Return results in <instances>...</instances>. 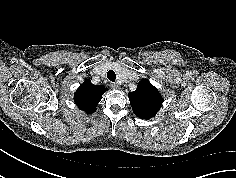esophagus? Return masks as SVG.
<instances>
[{"label": "esophagus", "mask_w": 236, "mask_h": 178, "mask_svg": "<svg viewBox=\"0 0 236 178\" xmlns=\"http://www.w3.org/2000/svg\"><path fill=\"white\" fill-rule=\"evenodd\" d=\"M111 87L114 89V90H118L119 89V85L117 83H111Z\"/></svg>", "instance_id": "esophagus-1"}]
</instances>
